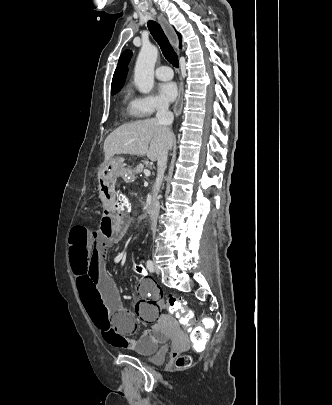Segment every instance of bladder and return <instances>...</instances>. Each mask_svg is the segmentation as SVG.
<instances>
[{"instance_id":"1","label":"bladder","mask_w":332,"mask_h":405,"mask_svg":"<svg viewBox=\"0 0 332 405\" xmlns=\"http://www.w3.org/2000/svg\"><path fill=\"white\" fill-rule=\"evenodd\" d=\"M167 336L165 334H162V341L159 343L153 344V348L148 351V350H135L134 353L140 355V356H149L151 362L154 364H161L165 361L166 359V354H167Z\"/></svg>"}]
</instances>
